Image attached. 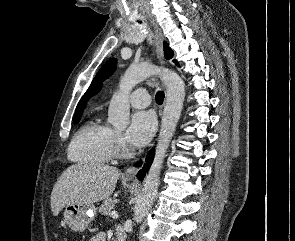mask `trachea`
I'll return each mask as SVG.
<instances>
[{"label": "trachea", "instance_id": "obj_1", "mask_svg": "<svg viewBox=\"0 0 295 241\" xmlns=\"http://www.w3.org/2000/svg\"><path fill=\"white\" fill-rule=\"evenodd\" d=\"M164 100V93L162 91H158L156 93V102L161 105L163 103Z\"/></svg>", "mask_w": 295, "mask_h": 241}]
</instances>
